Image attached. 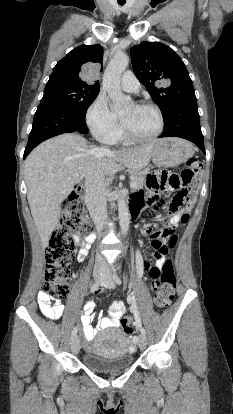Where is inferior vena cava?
Masks as SVG:
<instances>
[{
	"instance_id": "obj_1",
	"label": "inferior vena cava",
	"mask_w": 233,
	"mask_h": 414,
	"mask_svg": "<svg viewBox=\"0 0 233 414\" xmlns=\"http://www.w3.org/2000/svg\"><path fill=\"white\" fill-rule=\"evenodd\" d=\"M101 149L105 153L110 152L106 147H101ZM104 178V174L94 169L88 171L85 176V203L98 231L103 229L108 218ZM102 251L104 252L105 250L103 249ZM98 263L105 264V261L101 258L98 260Z\"/></svg>"
}]
</instances>
